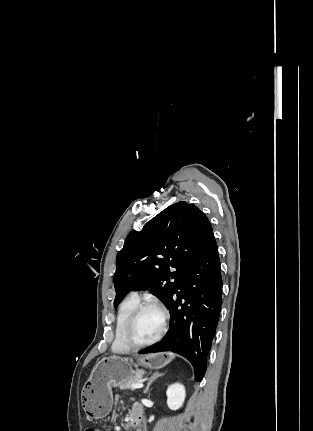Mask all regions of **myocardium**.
<instances>
[{"instance_id":"myocardium-1","label":"myocardium","mask_w":313,"mask_h":431,"mask_svg":"<svg viewBox=\"0 0 313 431\" xmlns=\"http://www.w3.org/2000/svg\"><path fill=\"white\" fill-rule=\"evenodd\" d=\"M147 308H155L157 309L162 316V326L160 331L158 332V334L152 338L149 341L146 342H137L134 340L133 338V330L135 328L137 319L139 317V315L141 314V312ZM167 323H168V314L166 312V310L158 303L156 302H152V301H145V302H141L139 303L131 312L125 329H124V341L125 343L132 349H140V348H144V347H148L150 345L155 344L156 342H158L164 335L166 329H167Z\"/></svg>"}]
</instances>
